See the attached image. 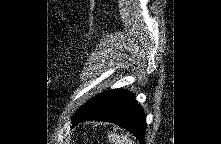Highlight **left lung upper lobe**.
<instances>
[{
    "instance_id": "left-lung-upper-lobe-1",
    "label": "left lung upper lobe",
    "mask_w": 221,
    "mask_h": 144,
    "mask_svg": "<svg viewBox=\"0 0 221 144\" xmlns=\"http://www.w3.org/2000/svg\"><path fill=\"white\" fill-rule=\"evenodd\" d=\"M107 93H101L97 96H95L94 98H92L91 100H89L85 105H83L78 112L76 113V115L74 116L73 120L76 119L77 117L84 115L86 112H88L90 109H92L97 103L100 102V100L104 97V95Z\"/></svg>"
}]
</instances>
